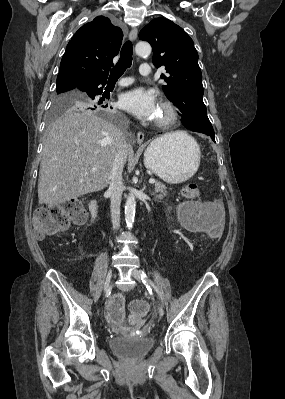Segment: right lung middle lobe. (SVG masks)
<instances>
[{
	"label": "right lung middle lobe",
	"instance_id": "dd1d6c3e",
	"mask_svg": "<svg viewBox=\"0 0 285 399\" xmlns=\"http://www.w3.org/2000/svg\"><path fill=\"white\" fill-rule=\"evenodd\" d=\"M50 122L55 116L71 109L102 110L104 105L97 103L95 95L82 92L78 89L56 88Z\"/></svg>",
	"mask_w": 285,
	"mask_h": 399
}]
</instances>
